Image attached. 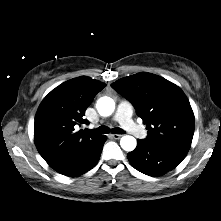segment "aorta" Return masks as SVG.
Listing matches in <instances>:
<instances>
[{
    "mask_svg": "<svg viewBox=\"0 0 221 221\" xmlns=\"http://www.w3.org/2000/svg\"><path fill=\"white\" fill-rule=\"evenodd\" d=\"M96 108L101 116H109L114 112L115 102L112 98L104 96L98 99ZM121 148L125 151H133L136 148L137 141L133 136H123L120 140Z\"/></svg>",
    "mask_w": 221,
    "mask_h": 221,
    "instance_id": "obj_1",
    "label": "aorta"
}]
</instances>
